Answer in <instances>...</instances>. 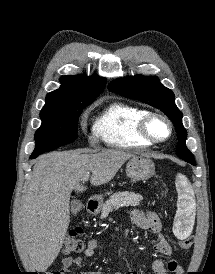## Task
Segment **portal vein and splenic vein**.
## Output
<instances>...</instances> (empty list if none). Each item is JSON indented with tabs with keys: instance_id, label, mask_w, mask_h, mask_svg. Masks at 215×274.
<instances>
[{
	"instance_id": "obj_1",
	"label": "portal vein and splenic vein",
	"mask_w": 215,
	"mask_h": 274,
	"mask_svg": "<svg viewBox=\"0 0 215 274\" xmlns=\"http://www.w3.org/2000/svg\"><path fill=\"white\" fill-rule=\"evenodd\" d=\"M88 179H89V173H87V174L84 175L83 182L88 181Z\"/></svg>"
}]
</instances>
